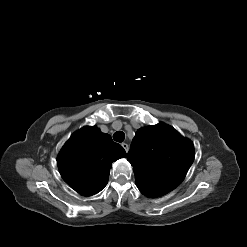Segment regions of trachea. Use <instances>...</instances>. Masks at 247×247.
I'll return each instance as SVG.
<instances>
[{
	"label": "trachea",
	"mask_w": 247,
	"mask_h": 247,
	"mask_svg": "<svg viewBox=\"0 0 247 247\" xmlns=\"http://www.w3.org/2000/svg\"><path fill=\"white\" fill-rule=\"evenodd\" d=\"M113 139L116 142H123L125 139V134L122 131H117L113 134Z\"/></svg>",
	"instance_id": "3493384b"
}]
</instances>
